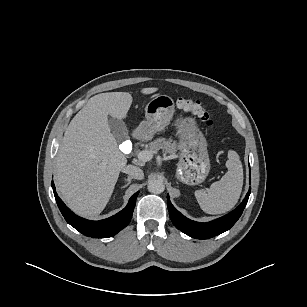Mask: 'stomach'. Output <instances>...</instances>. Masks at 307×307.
I'll return each instance as SVG.
<instances>
[{"label":"stomach","instance_id":"obj_1","mask_svg":"<svg viewBox=\"0 0 307 307\" xmlns=\"http://www.w3.org/2000/svg\"><path fill=\"white\" fill-rule=\"evenodd\" d=\"M173 114V99L167 95L155 96L145 108L146 120L137 127V136L145 140L151 139L170 123ZM176 128L181 151L177 176L187 185H199L210 171L206 139L191 117L178 118Z\"/></svg>","mask_w":307,"mask_h":307}]
</instances>
